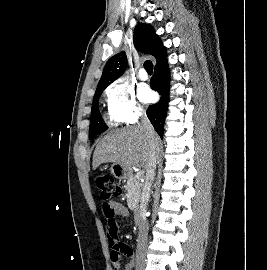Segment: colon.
<instances>
[{
    "instance_id": "obj_1",
    "label": "colon",
    "mask_w": 267,
    "mask_h": 270,
    "mask_svg": "<svg viewBox=\"0 0 267 270\" xmlns=\"http://www.w3.org/2000/svg\"><path fill=\"white\" fill-rule=\"evenodd\" d=\"M96 186L100 191L101 199L108 202L121 194V188L115 179L109 174L98 175L95 179ZM114 270H121V259L117 255L112 256Z\"/></svg>"
}]
</instances>
